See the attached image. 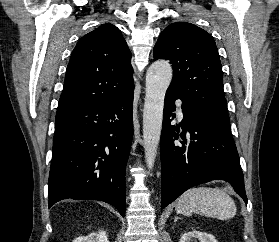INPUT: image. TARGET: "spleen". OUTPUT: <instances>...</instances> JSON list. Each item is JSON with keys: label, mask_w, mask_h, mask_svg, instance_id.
I'll use <instances>...</instances> for the list:
<instances>
[{"label": "spleen", "mask_w": 279, "mask_h": 242, "mask_svg": "<svg viewBox=\"0 0 279 242\" xmlns=\"http://www.w3.org/2000/svg\"><path fill=\"white\" fill-rule=\"evenodd\" d=\"M176 212L186 216L196 213L227 220L236 215V205L233 199L220 189L195 187L180 196Z\"/></svg>", "instance_id": "obj_1"}]
</instances>
